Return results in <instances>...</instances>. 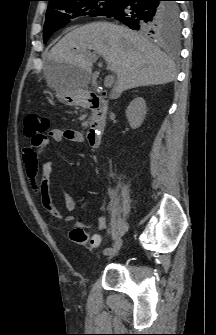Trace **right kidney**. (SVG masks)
<instances>
[{
  "mask_svg": "<svg viewBox=\"0 0 216 335\" xmlns=\"http://www.w3.org/2000/svg\"><path fill=\"white\" fill-rule=\"evenodd\" d=\"M146 115V102L142 97L134 98L126 109V117L132 129L141 126Z\"/></svg>",
  "mask_w": 216,
  "mask_h": 335,
  "instance_id": "ca27d5eb",
  "label": "right kidney"
}]
</instances>
